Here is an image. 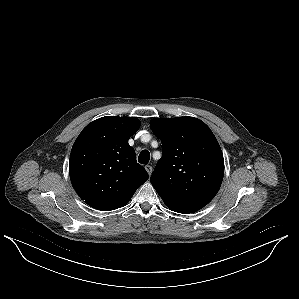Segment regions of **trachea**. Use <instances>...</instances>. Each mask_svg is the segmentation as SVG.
<instances>
[{
	"label": "trachea",
	"instance_id": "3493384b",
	"mask_svg": "<svg viewBox=\"0 0 299 299\" xmlns=\"http://www.w3.org/2000/svg\"><path fill=\"white\" fill-rule=\"evenodd\" d=\"M150 160V153L147 150H143L138 157V162L141 164H147Z\"/></svg>",
	"mask_w": 299,
	"mask_h": 299
}]
</instances>
